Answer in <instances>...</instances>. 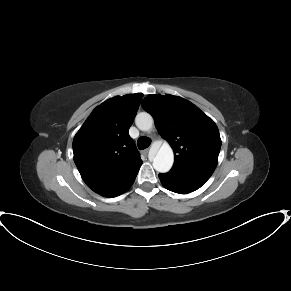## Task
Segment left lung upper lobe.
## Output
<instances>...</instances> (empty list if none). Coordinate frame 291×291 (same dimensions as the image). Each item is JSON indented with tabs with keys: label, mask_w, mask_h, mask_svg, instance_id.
Returning a JSON list of instances; mask_svg holds the SVG:
<instances>
[{
	"label": "left lung upper lobe",
	"mask_w": 291,
	"mask_h": 291,
	"mask_svg": "<svg viewBox=\"0 0 291 291\" xmlns=\"http://www.w3.org/2000/svg\"><path fill=\"white\" fill-rule=\"evenodd\" d=\"M142 107L150 113L159 134L174 151L170 173L208 180L221 148L214 121L191 102L173 95H148Z\"/></svg>",
	"instance_id": "1"
}]
</instances>
